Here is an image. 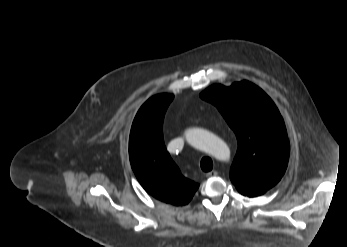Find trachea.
Returning <instances> with one entry per match:
<instances>
[{
    "label": "trachea",
    "mask_w": 347,
    "mask_h": 247,
    "mask_svg": "<svg viewBox=\"0 0 347 247\" xmlns=\"http://www.w3.org/2000/svg\"><path fill=\"white\" fill-rule=\"evenodd\" d=\"M200 166L204 172H209L213 168V162H212L211 158L203 157L201 162H200Z\"/></svg>",
    "instance_id": "trachea-1"
}]
</instances>
